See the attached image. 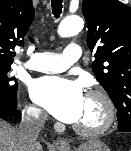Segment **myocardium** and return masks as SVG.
<instances>
[{"mask_svg":"<svg viewBox=\"0 0 131 151\" xmlns=\"http://www.w3.org/2000/svg\"><path fill=\"white\" fill-rule=\"evenodd\" d=\"M87 97L96 99L101 102L104 111L103 120L95 126L74 124L73 129L75 132L83 136H96L103 134L108 131L114 124L116 118L115 105L110 96L100 89L90 90L87 94Z\"/></svg>","mask_w":131,"mask_h":151,"instance_id":"1","label":"myocardium"}]
</instances>
